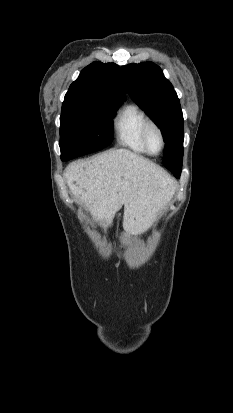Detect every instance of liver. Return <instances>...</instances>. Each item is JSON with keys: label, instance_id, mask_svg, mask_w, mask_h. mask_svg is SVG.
<instances>
[{"label": "liver", "instance_id": "liver-1", "mask_svg": "<svg viewBox=\"0 0 233 413\" xmlns=\"http://www.w3.org/2000/svg\"><path fill=\"white\" fill-rule=\"evenodd\" d=\"M64 176L71 193L106 226L124 205L123 227L134 233L158 220L176 190L164 170L127 149L73 162Z\"/></svg>", "mask_w": 233, "mask_h": 413}]
</instances>
